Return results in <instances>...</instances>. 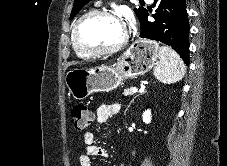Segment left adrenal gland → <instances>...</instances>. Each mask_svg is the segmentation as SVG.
<instances>
[{"mask_svg": "<svg viewBox=\"0 0 227 166\" xmlns=\"http://www.w3.org/2000/svg\"><path fill=\"white\" fill-rule=\"evenodd\" d=\"M146 92V91H145ZM144 92V93H145ZM136 97H134L131 101H130V103H129V105H128V107L127 108H129L130 107V105L134 102V99H135Z\"/></svg>", "mask_w": 227, "mask_h": 166, "instance_id": "a2214340", "label": "left adrenal gland"}]
</instances>
